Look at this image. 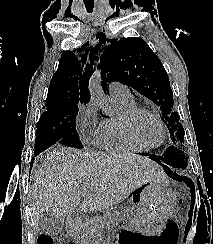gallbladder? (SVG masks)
Returning <instances> with one entry per match:
<instances>
[{"mask_svg":"<svg viewBox=\"0 0 213 244\" xmlns=\"http://www.w3.org/2000/svg\"><path fill=\"white\" fill-rule=\"evenodd\" d=\"M64 226V217H58L52 213H44L38 223V232L50 236L58 235Z\"/></svg>","mask_w":213,"mask_h":244,"instance_id":"bac80fb5","label":"gallbladder"}]
</instances>
